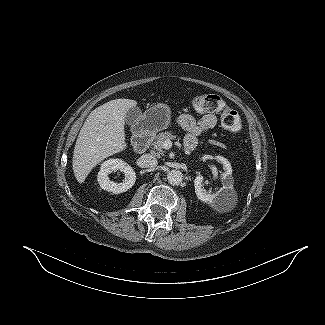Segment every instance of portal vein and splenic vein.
Segmentation results:
<instances>
[{"instance_id": "obj_1", "label": "portal vein and splenic vein", "mask_w": 325, "mask_h": 325, "mask_svg": "<svg viewBox=\"0 0 325 325\" xmlns=\"http://www.w3.org/2000/svg\"><path fill=\"white\" fill-rule=\"evenodd\" d=\"M163 148L168 150L172 147V141L171 140H165L162 144Z\"/></svg>"}]
</instances>
